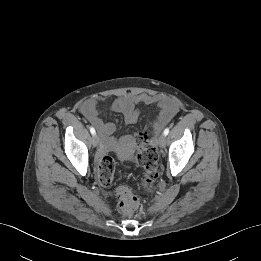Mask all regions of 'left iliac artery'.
<instances>
[{"instance_id":"left-iliac-artery-1","label":"left iliac artery","mask_w":261,"mask_h":261,"mask_svg":"<svg viewBox=\"0 0 261 261\" xmlns=\"http://www.w3.org/2000/svg\"><path fill=\"white\" fill-rule=\"evenodd\" d=\"M168 133H169V128H166V129L164 130L163 134H164L165 136H167Z\"/></svg>"}]
</instances>
